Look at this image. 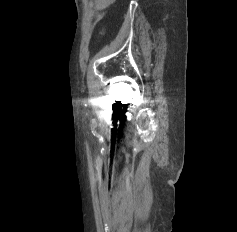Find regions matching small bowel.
I'll use <instances>...</instances> for the list:
<instances>
[{
  "label": "small bowel",
  "mask_w": 237,
  "mask_h": 232,
  "mask_svg": "<svg viewBox=\"0 0 237 232\" xmlns=\"http://www.w3.org/2000/svg\"><path fill=\"white\" fill-rule=\"evenodd\" d=\"M115 0H96V8L103 10L111 5Z\"/></svg>",
  "instance_id": "obj_1"
}]
</instances>
